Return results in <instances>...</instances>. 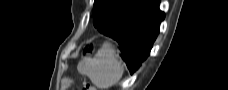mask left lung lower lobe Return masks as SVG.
<instances>
[{
    "label": "left lung lower lobe",
    "mask_w": 228,
    "mask_h": 90,
    "mask_svg": "<svg viewBox=\"0 0 228 90\" xmlns=\"http://www.w3.org/2000/svg\"><path fill=\"white\" fill-rule=\"evenodd\" d=\"M158 6L159 0H133L132 8L125 11L116 23L102 32L117 41L121 57L131 74L149 56L159 33L164 13Z\"/></svg>",
    "instance_id": "left-lung-lower-lobe-1"
}]
</instances>
